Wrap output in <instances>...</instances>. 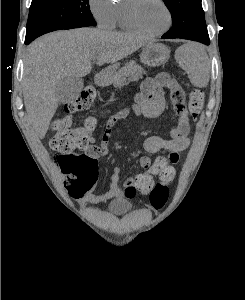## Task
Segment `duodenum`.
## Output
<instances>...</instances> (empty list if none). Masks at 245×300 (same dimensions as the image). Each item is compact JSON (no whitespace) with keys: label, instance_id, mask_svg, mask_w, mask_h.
<instances>
[{"label":"duodenum","instance_id":"410a0bca","mask_svg":"<svg viewBox=\"0 0 245 300\" xmlns=\"http://www.w3.org/2000/svg\"><path fill=\"white\" fill-rule=\"evenodd\" d=\"M95 81L98 85L103 86L107 83L108 81V76L106 73H99L96 75Z\"/></svg>","mask_w":245,"mask_h":300}]
</instances>
